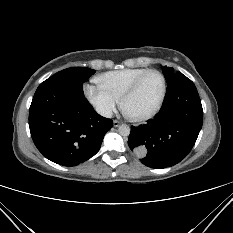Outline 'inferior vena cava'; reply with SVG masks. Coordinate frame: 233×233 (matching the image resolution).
<instances>
[{"instance_id":"obj_1","label":"inferior vena cava","mask_w":233,"mask_h":233,"mask_svg":"<svg viewBox=\"0 0 233 233\" xmlns=\"http://www.w3.org/2000/svg\"><path fill=\"white\" fill-rule=\"evenodd\" d=\"M97 112L106 118H111L112 117V111L108 108H97Z\"/></svg>"}]
</instances>
